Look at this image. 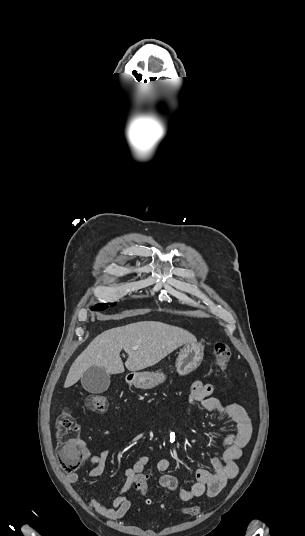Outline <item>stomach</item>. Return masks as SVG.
I'll use <instances>...</instances> for the list:
<instances>
[{
	"mask_svg": "<svg viewBox=\"0 0 305 536\" xmlns=\"http://www.w3.org/2000/svg\"><path fill=\"white\" fill-rule=\"evenodd\" d=\"M204 352L202 344L194 342V344H185L179 352V356L176 360V372L179 376H186L190 374L196 368H199L203 360ZM166 380L164 374H154V372H138V374H128L126 376V382L132 384L135 388H141V390H151L159 384H163Z\"/></svg>",
	"mask_w": 305,
	"mask_h": 536,
	"instance_id": "stomach-1",
	"label": "stomach"
}]
</instances>
